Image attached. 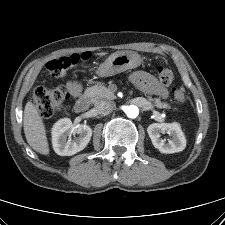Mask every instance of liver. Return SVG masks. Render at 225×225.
<instances>
[{
  "label": "liver",
  "instance_id": "1",
  "mask_svg": "<svg viewBox=\"0 0 225 225\" xmlns=\"http://www.w3.org/2000/svg\"><path fill=\"white\" fill-rule=\"evenodd\" d=\"M105 54L106 52H101L97 55L103 56ZM23 127L26 140L30 147L40 154L48 155L49 144L45 127L38 110L31 101H28L25 105Z\"/></svg>",
  "mask_w": 225,
  "mask_h": 225
}]
</instances>
